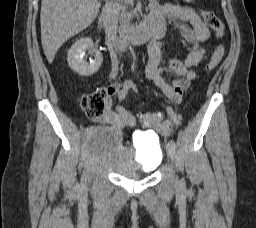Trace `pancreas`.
<instances>
[{
	"instance_id": "1",
	"label": "pancreas",
	"mask_w": 256,
	"mask_h": 228,
	"mask_svg": "<svg viewBox=\"0 0 256 228\" xmlns=\"http://www.w3.org/2000/svg\"><path fill=\"white\" fill-rule=\"evenodd\" d=\"M125 3L127 4H132L133 1L131 0H124ZM134 17V12H122L120 16V23H121V28L125 29L130 25L131 19Z\"/></svg>"
}]
</instances>
